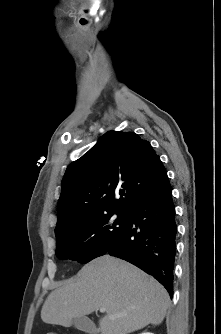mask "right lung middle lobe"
<instances>
[{
  "mask_svg": "<svg viewBox=\"0 0 221 334\" xmlns=\"http://www.w3.org/2000/svg\"><path fill=\"white\" fill-rule=\"evenodd\" d=\"M127 221L128 212H110L75 224L57 237L56 256L87 263L104 255L120 239Z\"/></svg>",
  "mask_w": 221,
  "mask_h": 334,
  "instance_id": "1",
  "label": "right lung middle lobe"
}]
</instances>
